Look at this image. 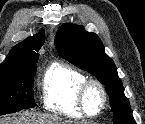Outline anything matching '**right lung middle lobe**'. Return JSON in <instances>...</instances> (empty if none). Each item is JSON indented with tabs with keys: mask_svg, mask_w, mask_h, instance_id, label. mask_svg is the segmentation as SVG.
<instances>
[{
	"mask_svg": "<svg viewBox=\"0 0 145 124\" xmlns=\"http://www.w3.org/2000/svg\"><path fill=\"white\" fill-rule=\"evenodd\" d=\"M36 69V64H33L20 71L0 73V115L35 106L33 85Z\"/></svg>",
	"mask_w": 145,
	"mask_h": 124,
	"instance_id": "1",
	"label": "right lung middle lobe"
}]
</instances>
